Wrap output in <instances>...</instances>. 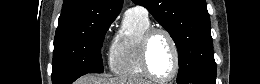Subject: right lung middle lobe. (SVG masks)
<instances>
[{"label":"right lung middle lobe","mask_w":260,"mask_h":84,"mask_svg":"<svg viewBox=\"0 0 260 84\" xmlns=\"http://www.w3.org/2000/svg\"><path fill=\"white\" fill-rule=\"evenodd\" d=\"M113 21H98L80 32L55 38L53 84H71L81 75L104 71L101 47Z\"/></svg>","instance_id":"obj_1"}]
</instances>
